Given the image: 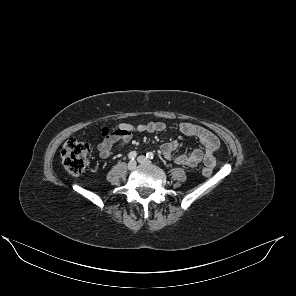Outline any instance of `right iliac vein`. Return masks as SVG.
Instances as JSON below:
<instances>
[{"label": "right iliac vein", "mask_w": 296, "mask_h": 296, "mask_svg": "<svg viewBox=\"0 0 296 296\" xmlns=\"http://www.w3.org/2000/svg\"><path fill=\"white\" fill-rule=\"evenodd\" d=\"M136 165H137L136 161L132 160L128 163L127 168L129 170H134L136 168Z\"/></svg>", "instance_id": "obj_1"}]
</instances>
